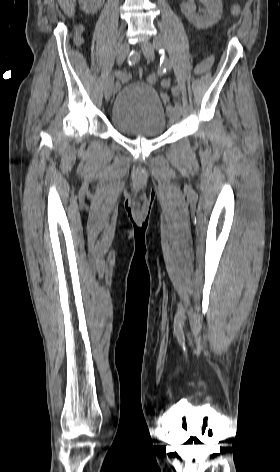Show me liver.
<instances>
[{
    "mask_svg": "<svg viewBox=\"0 0 280 472\" xmlns=\"http://www.w3.org/2000/svg\"><path fill=\"white\" fill-rule=\"evenodd\" d=\"M75 2L76 0H58L61 9L68 17L74 16Z\"/></svg>",
    "mask_w": 280,
    "mask_h": 472,
    "instance_id": "1",
    "label": "liver"
}]
</instances>
